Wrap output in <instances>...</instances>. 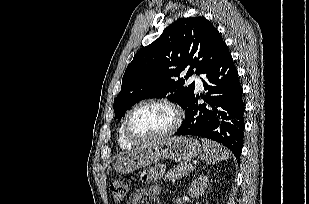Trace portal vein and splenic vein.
<instances>
[{
  "instance_id": "1",
  "label": "portal vein and splenic vein",
  "mask_w": 309,
  "mask_h": 204,
  "mask_svg": "<svg viewBox=\"0 0 309 204\" xmlns=\"http://www.w3.org/2000/svg\"><path fill=\"white\" fill-rule=\"evenodd\" d=\"M190 167H191V168H194V167H195V165L190 164Z\"/></svg>"
}]
</instances>
